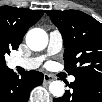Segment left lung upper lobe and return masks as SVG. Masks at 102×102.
<instances>
[{
    "label": "left lung upper lobe",
    "instance_id": "left-lung-upper-lobe-1",
    "mask_svg": "<svg viewBox=\"0 0 102 102\" xmlns=\"http://www.w3.org/2000/svg\"><path fill=\"white\" fill-rule=\"evenodd\" d=\"M46 13L62 34L68 74L102 82V24L76 10Z\"/></svg>",
    "mask_w": 102,
    "mask_h": 102
}]
</instances>
